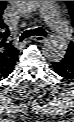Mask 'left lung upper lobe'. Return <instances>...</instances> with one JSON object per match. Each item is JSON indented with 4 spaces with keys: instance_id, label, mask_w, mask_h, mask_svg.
Returning <instances> with one entry per match:
<instances>
[{
    "instance_id": "1",
    "label": "left lung upper lobe",
    "mask_w": 74,
    "mask_h": 122,
    "mask_svg": "<svg viewBox=\"0 0 74 122\" xmlns=\"http://www.w3.org/2000/svg\"><path fill=\"white\" fill-rule=\"evenodd\" d=\"M67 5L72 16V26L74 27V1H67ZM68 49L74 51V40L70 42Z\"/></svg>"
}]
</instances>
